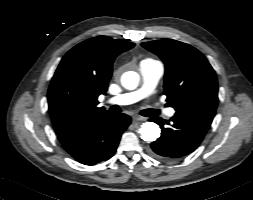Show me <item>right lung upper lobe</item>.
Listing matches in <instances>:
<instances>
[{"label":"right lung upper lobe","instance_id":"1","mask_svg":"<svg viewBox=\"0 0 253 200\" xmlns=\"http://www.w3.org/2000/svg\"><path fill=\"white\" fill-rule=\"evenodd\" d=\"M134 45L98 36L63 57L48 90L49 112L58 134L108 114L97 107V98L106 94L115 57Z\"/></svg>","mask_w":253,"mask_h":200}]
</instances>
